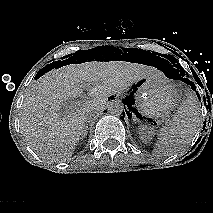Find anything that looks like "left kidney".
<instances>
[{
	"label": "left kidney",
	"mask_w": 213,
	"mask_h": 213,
	"mask_svg": "<svg viewBox=\"0 0 213 213\" xmlns=\"http://www.w3.org/2000/svg\"><path fill=\"white\" fill-rule=\"evenodd\" d=\"M139 133H140L141 139L145 141L149 139L150 135L152 134V129L148 126H141L139 128Z\"/></svg>",
	"instance_id": "obj_1"
}]
</instances>
